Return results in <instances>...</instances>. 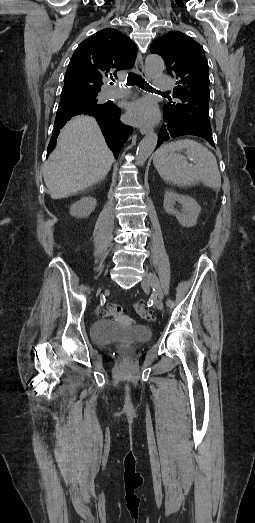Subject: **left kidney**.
Masks as SVG:
<instances>
[{"instance_id": "5707ae66", "label": "left kidney", "mask_w": 255, "mask_h": 523, "mask_svg": "<svg viewBox=\"0 0 255 523\" xmlns=\"http://www.w3.org/2000/svg\"><path fill=\"white\" fill-rule=\"evenodd\" d=\"M175 202L182 204V212L175 210ZM163 206L165 212H167V214H175L179 224L185 226V228L195 226L201 212V208L194 198H190V196H179V194H175L172 190L165 192Z\"/></svg>"}]
</instances>
